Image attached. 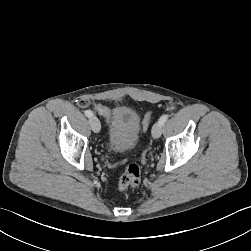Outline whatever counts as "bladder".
Segmentation results:
<instances>
[{"instance_id": "31cf9c89", "label": "bladder", "mask_w": 251, "mask_h": 251, "mask_svg": "<svg viewBox=\"0 0 251 251\" xmlns=\"http://www.w3.org/2000/svg\"><path fill=\"white\" fill-rule=\"evenodd\" d=\"M140 117L128 106L118 105L111 111L106 146L108 150L122 153L133 149L138 141Z\"/></svg>"}]
</instances>
